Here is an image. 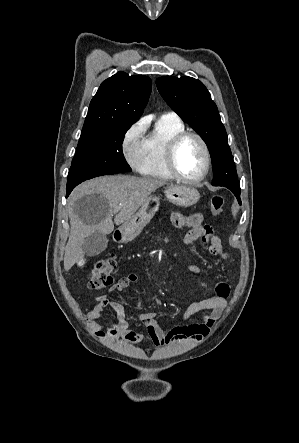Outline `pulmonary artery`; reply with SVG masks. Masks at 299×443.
Wrapping results in <instances>:
<instances>
[{"mask_svg": "<svg viewBox=\"0 0 299 443\" xmlns=\"http://www.w3.org/2000/svg\"><path fill=\"white\" fill-rule=\"evenodd\" d=\"M164 116H175V114H173V113H166V114H164Z\"/></svg>", "mask_w": 299, "mask_h": 443, "instance_id": "1", "label": "pulmonary artery"}]
</instances>
